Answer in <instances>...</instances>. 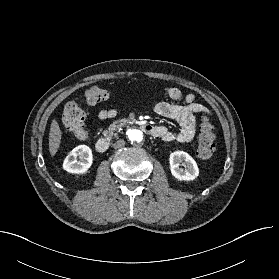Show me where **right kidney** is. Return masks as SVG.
<instances>
[{"mask_svg": "<svg viewBox=\"0 0 279 279\" xmlns=\"http://www.w3.org/2000/svg\"><path fill=\"white\" fill-rule=\"evenodd\" d=\"M92 163L93 155L91 148L86 145H79L66 156L63 162V169L73 174H84L91 167Z\"/></svg>", "mask_w": 279, "mask_h": 279, "instance_id": "1", "label": "right kidney"}]
</instances>
